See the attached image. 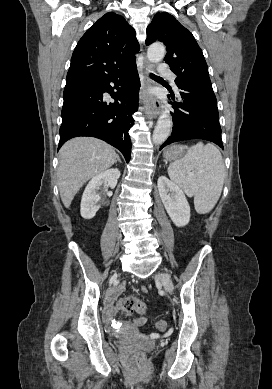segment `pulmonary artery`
I'll list each match as a JSON object with an SVG mask.
<instances>
[{"label":"pulmonary artery","instance_id":"pulmonary-artery-1","mask_svg":"<svg viewBox=\"0 0 272 389\" xmlns=\"http://www.w3.org/2000/svg\"><path fill=\"white\" fill-rule=\"evenodd\" d=\"M158 71H159L160 74L168 77L171 80V82L174 84L176 76H175V74L170 70V68L166 64L160 63L158 65Z\"/></svg>","mask_w":272,"mask_h":389}]
</instances>
